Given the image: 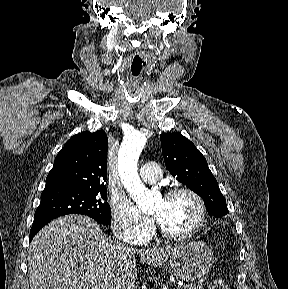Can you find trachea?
I'll list each match as a JSON object with an SVG mask.
<instances>
[{
  "instance_id": "1",
  "label": "trachea",
  "mask_w": 288,
  "mask_h": 289,
  "mask_svg": "<svg viewBox=\"0 0 288 289\" xmlns=\"http://www.w3.org/2000/svg\"><path fill=\"white\" fill-rule=\"evenodd\" d=\"M146 67L147 62L142 55L136 53L132 56L129 63V72L132 79V85L129 87V96L132 98L135 96L134 83H136L138 79L142 76Z\"/></svg>"
}]
</instances>
